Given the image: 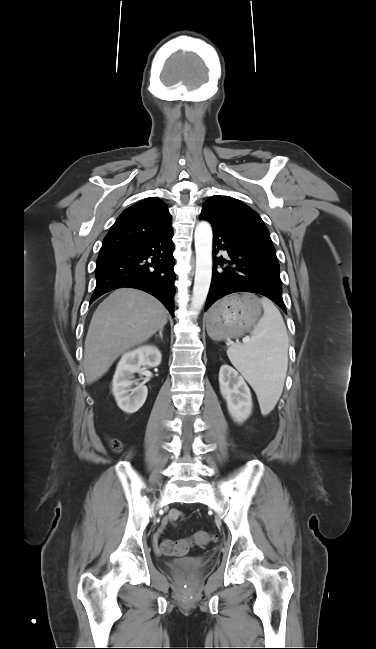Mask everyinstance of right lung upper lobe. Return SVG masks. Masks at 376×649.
Instances as JSON below:
<instances>
[{
	"instance_id": "cb5924a9",
	"label": "right lung upper lobe",
	"mask_w": 376,
	"mask_h": 649,
	"mask_svg": "<svg viewBox=\"0 0 376 649\" xmlns=\"http://www.w3.org/2000/svg\"><path fill=\"white\" fill-rule=\"evenodd\" d=\"M172 218L165 203L147 198L127 208L104 238L100 251L121 248L172 231Z\"/></svg>"
}]
</instances>
